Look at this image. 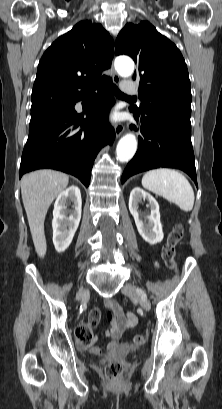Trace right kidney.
<instances>
[{
	"label": "right kidney",
	"mask_w": 222,
	"mask_h": 409,
	"mask_svg": "<svg viewBox=\"0 0 222 409\" xmlns=\"http://www.w3.org/2000/svg\"><path fill=\"white\" fill-rule=\"evenodd\" d=\"M73 202V209H67V202ZM80 189L72 185L62 191L54 204L53 210V244L57 252H64L72 242L81 219Z\"/></svg>",
	"instance_id": "obj_1"
}]
</instances>
